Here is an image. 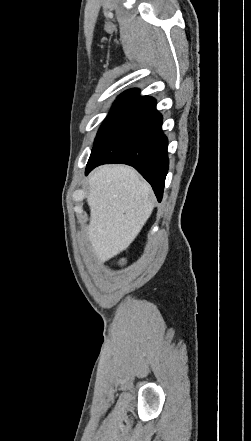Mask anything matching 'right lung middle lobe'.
<instances>
[{
	"label": "right lung middle lobe",
	"mask_w": 251,
	"mask_h": 441,
	"mask_svg": "<svg viewBox=\"0 0 251 441\" xmlns=\"http://www.w3.org/2000/svg\"><path fill=\"white\" fill-rule=\"evenodd\" d=\"M131 103L116 101L112 107V110L108 114L107 118L101 125L97 136L95 138L96 142L101 138V136L105 133V131L113 124V122L129 107ZM95 146V145H94Z\"/></svg>",
	"instance_id": "dd1d6c3e"
}]
</instances>
